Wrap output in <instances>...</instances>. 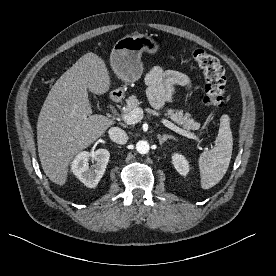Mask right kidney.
Listing matches in <instances>:
<instances>
[{"instance_id": "1", "label": "right kidney", "mask_w": 276, "mask_h": 276, "mask_svg": "<svg viewBox=\"0 0 276 276\" xmlns=\"http://www.w3.org/2000/svg\"><path fill=\"white\" fill-rule=\"evenodd\" d=\"M109 158L110 153L106 149L80 152L71 164V171L85 186L94 188L104 175ZM90 159L95 163L89 166Z\"/></svg>"}]
</instances>
